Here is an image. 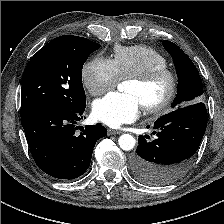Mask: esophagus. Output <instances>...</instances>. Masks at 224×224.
I'll use <instances>...</instances> for the list:
<instances>
[{
	"label": "esophagus",
	"mask_w": 224,
	"mask_h": 224,
	"mask_svg": "<svg viewBox=\"0 0 224 224\" xmlns=\"http://www.w3.org/2000/svg\"><path fill=\"white\" fill-rule=\"evenodd\" d=\"M121 132L120 131H117V130H112V129H109L108 130V135L111 136V135H118L120 134Z\"/></svg>",
	"instance_id": "1"
}]
</instances>
